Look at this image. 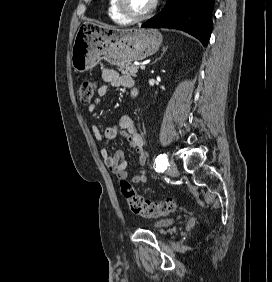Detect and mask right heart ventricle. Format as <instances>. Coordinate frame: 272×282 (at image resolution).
<instances>
[{"mask_svg": "<svg viewBox=\"0 0 272 282\" xmlns=\"http://www.w3.org/2000/svg\"><path fill=\"white\" fill-rule=\"evenodd\" d=\"M108 12L110 18L116 23L128 25L131 23L130 20L126 19L116 8V0H109Z\"/></svg>", "mask_w": 272, "mask_h": 282, "instance_id": "e07e8e85", "label": "right heart ventricle"}]
</instances>
